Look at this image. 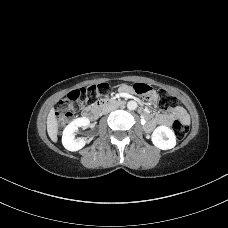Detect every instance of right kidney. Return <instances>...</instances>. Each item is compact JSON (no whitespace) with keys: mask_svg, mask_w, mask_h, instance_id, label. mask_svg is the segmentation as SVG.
<instances>
[{"mask_svg":"<svg viewBox=\"0 0 228 228\" xmlns=\"http://www.w3.org/2000/svg\"><path fill=\"white\" fill-rule=\"evenodd\" d=\"M90 120L86 117L74 119L63 131L62 144L69 151H78L82 149L86 141L83 139H75V132L79 127H87Z\"/></svg>","mask_w":228,"mask_h":228,"instance_id":"right-kidney-1","label":"right kidney"}]
</instances>
